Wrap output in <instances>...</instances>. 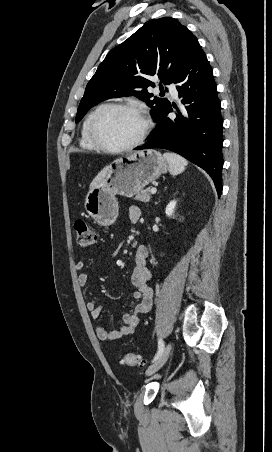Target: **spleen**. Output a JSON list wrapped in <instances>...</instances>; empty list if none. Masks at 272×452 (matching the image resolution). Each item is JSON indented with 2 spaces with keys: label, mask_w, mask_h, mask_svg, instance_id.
I'll return each instance as SVG.
<instances>
[{
  "label": "spleen",
  "mask_w": 272,
  "mask_h": 452,
  "mask_svg": "<svg viewBox=\"0 0 272 452\" xmlns=\"http://www.w3.org/2000/svg\"><path fill=\"white\" fill-rule=\"evenodd\" d=\"M164 158L168 163V170L173 176L182 173L188 164L185 158L173 152H165Z\"/></svg>",
  "instance_id": "obj_1"
}]
</instances>
